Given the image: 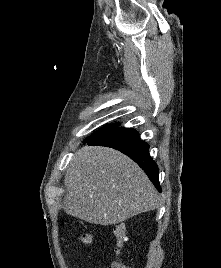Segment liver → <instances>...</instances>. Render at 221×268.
Returning <instances> with one entry per match:
<instances>
[{
	"mask_svg": "<svg viewBox=\"0 0 221 268\" xmlns=\"http://www.w3.org/2000/svg\"><path fill=\"white\" fill-rule=\"evenodd\" d=\"M64 184L66 213L88 223L118 224L159 206L157 191L143 170L108 147L78 150Z\"/></svg>",
	"mask_w": 221,
	"mask_h": 268,
	"instance_id": "obj_1",
	"label": "liver"
}]
</instances>
